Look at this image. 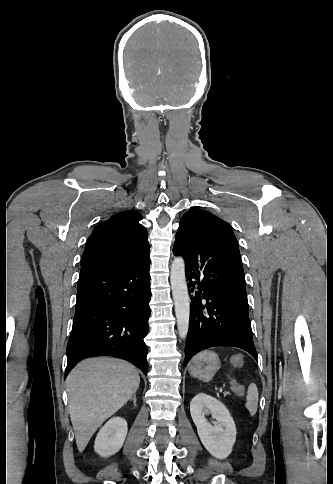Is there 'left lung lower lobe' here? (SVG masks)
I'll use <instances>...</instances> for the list:
<instances>
[{"instance_id": "left-lung-lower-lobe-1", "label": "left lung lower lobe", "mask_w": 333, "mask_h": 484, "mask_svg": "<svg viewBox=\"0 0 333 484\" xmlns=\"http://www.w3.org/2000/svg\"><path fill=\"white\" fill-rule=\"evenodd\" d=\"M173 252L185 260L191 292L184 364L199 351L216 346L244 349L258 361L234 233L221 227L200 229L191 222H183Z\"/></svg>"}]
</instances>
